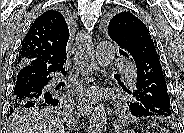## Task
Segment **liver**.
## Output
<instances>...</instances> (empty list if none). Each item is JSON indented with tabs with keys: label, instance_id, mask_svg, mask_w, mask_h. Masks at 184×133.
<instances>
[{
	"label": "liver",
	"instance_id": "obj_1",
	"mask_svg": "<svg viewBox=\"0 0 184 133\" xmlns=\"http://www.w3.org/2000/svg\"><path fill=\"white\" fill-rule=\"evenodd\" d=\"M59 115L48 111H33L14 117L8 133H65Z\"/></svg>",
	"mask_w": 184,
	"mask_h": 133
}]
</instances>
